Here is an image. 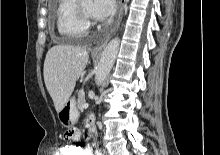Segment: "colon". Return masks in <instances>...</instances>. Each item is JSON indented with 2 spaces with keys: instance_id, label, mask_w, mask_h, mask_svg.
I'll use <instances>...</instances> for the list:
<instances>
[{
  "instance_id": "5ec220e1",
  "label": "colon",
  "mask_w": 220,
  "mask_h": 155,
  "mask_svg": "<svg viewBox=\"0 0 220 155\" xmlns=\"http://www.w3.org/2000/svg\"><path fill=\"white\" fill-rule=\"evenodd\" d=\"M60 154L61 155H83V150H81V147L79 146H60Z\"/></svg>"
}]
</instances>
